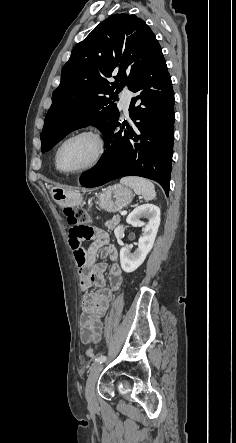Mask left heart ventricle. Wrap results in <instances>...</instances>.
Instances as JSON below:
<instances>
[{
  "label": "left heart ventricle",
  "instance_id": "b2bd125f",
  "mask_svg": "<svg viewBox=\"0 0 236 443\" xmlns=\"http://www.w3.org/2000/svg\"><path fill=\"white\" fill-rule=\"evenodd\" d=\"M97 146L89 136L75 138L64 145L60 152V167L76 170L90 164L96 156Z\"/></svg>",
  "mask_w": 236,
  "mask_h": 443
}]
</instances>
